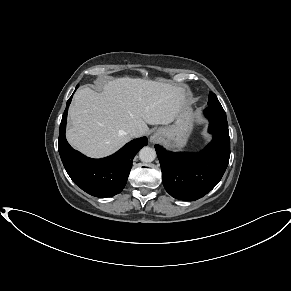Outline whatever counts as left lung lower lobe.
Here are the masks:
<instances>
[{"instance_id":"left-lung-lower-lobe-1","label":"left lung lower lobe","mask_w":291,"mask_h":291,"mask_svg":"<svg viewBox=\"0 0 291 291\" xmlns=\"http://www.w3.org/2000/svg\"><path fill=\"white\" fill-rule=\"evenodd\" d=\"M209 133L213 139L199 153L170 152L155 146L160 161L163 185L174 198L194 201L211 191L221 180L230 157V138L223 108L207 107Z\"/></svg>"}]
</instances>
